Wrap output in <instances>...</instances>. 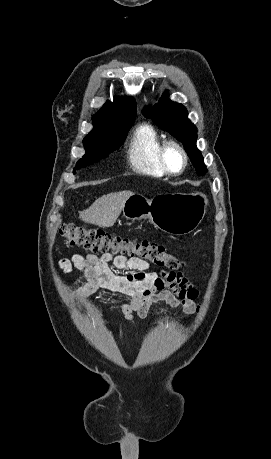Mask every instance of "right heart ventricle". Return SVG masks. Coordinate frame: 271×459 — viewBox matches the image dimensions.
<instances>
[{
    "label": "right heart ventricle",
    "mask_w": 271,
    "mask_h": 459,
    "mask_svg": "<svg viewBox=\"0 0 271 459\" xmlns=\"http://www.w3.org/2000/svg\"><path fill=\"white\" fill-rule=\"evenodd\" d=\"M163 137L156 127L149 123L137 126L131 136L127 158L130 167L138 174L154 178H165L158 150Z\"/></svg>",
    "instance_id": "1"
}]
</instances>
